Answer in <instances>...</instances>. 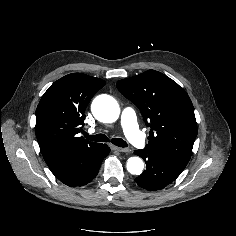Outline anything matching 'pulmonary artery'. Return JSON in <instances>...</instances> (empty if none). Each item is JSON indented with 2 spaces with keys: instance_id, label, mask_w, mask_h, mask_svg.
I'll use <instances>...</instances> for the list:
<instances>
[{
  "instance_id": "e3ab8cb5",
  "label": "pulmonary artery",
  "mask_w": 236,
  "mask_h": 236,
  "mask_svg": "<svg viewBox=\"0 0 236 236\" xmlns=\"http://www.w3.org/2000/svg\"><path fill=\"white\" fill-rule=\"evenodd\" d=\"M121 126L128 140L137 148L145 147V137L138 128L135 112L132 108H125L121 114Z\"/></svg>"
}]
</instances>
